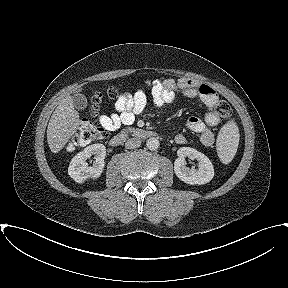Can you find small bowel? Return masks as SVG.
Masks as SVG:
<instances>
[{"instance_id": "c3829d8e", "label": "small bowel", "mask_w": 288, "mask_h": 288, "mask_svg": "<svg viewBox=\"0 0 288 288\" xmlns=\"http://www.w3.org/2000/svg\"><path fill=\"white\" fill-rule=\"evenodd\" d=\"M146 87L150 91L152 103L157 107L173 103L177 94L185 97H198L206 106L207 112L203 119L189 117L187 127L199 134L200 142L204 146H211L214 143L213 128L220 123V115L216 111L219 101L216 92L207 84L195 79L180 78L155 79L146 81ZM148 103V96L143 88L137 89L133 94H124L115 102V112L111 115H102L100 123L109 131L117 130L121 125H131L136 116L141 114ZM175 142L183 145L187 143L184 134H177Z\"/></svg>"}]
</instances>
